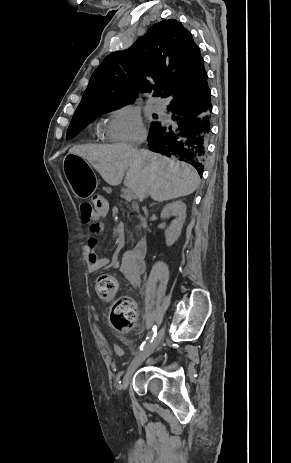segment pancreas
<instances>
[{"label":"pancreas","mask_w":291,"mask_h":463,"mask_svg":"<svg viewBox=\"0 0 291 463\" xmlns=\"http://www.w3.org/2000/svg\"><path fill=\"white\" fill-rule=\"evenodd\" d=\"M139 218H140L141 220H143V217H142V216H139Z\"/></svg>","instance_id":"pancreas-1"}]
</instances>
